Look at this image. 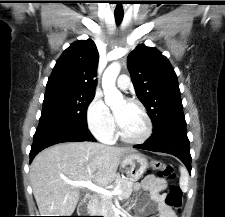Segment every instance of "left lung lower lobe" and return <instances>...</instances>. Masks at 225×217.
<instances>
[{"mask_svg":"<svg viewBox=\"0 0 225 217\" xmlns=\"http://www.w3.org/2000/svg\"><path fill=\"white\" fill-rule=\"evenodd\" d=\"M134 148L172 154L185 164L191 174V155L185 121H177L153 131L144 144L135 145Z\"/></svg>","mask_w":225,"mask_h":217,"instance_id":"0a47b994","label":"left lung lower lobe"}]
</instances>
